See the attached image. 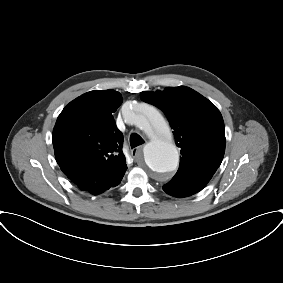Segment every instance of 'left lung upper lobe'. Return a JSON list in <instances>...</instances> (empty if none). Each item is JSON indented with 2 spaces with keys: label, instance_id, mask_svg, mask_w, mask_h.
<instances>
[{
  "label": "left lung upper lobe",
  "instance_id": "obj_1",
  "mask_svg": "<svg viewBox=\"0 0 283 283\" xmlns=\"http://www.w3.org/2000/svg\"><path fill=\"white\" fill-rule=\"evenodd\" d=\"M142 99L159 107L174 130L181 148L178 180L205 187L220 166L225 152L224 122L219 110L198 92L185 87L142 92Z\"/></svg>",
  "mask_w": 283,
  "mask_h": 283
}]
</instances>
